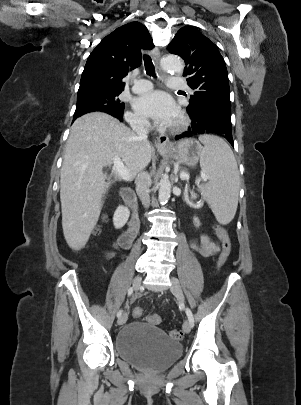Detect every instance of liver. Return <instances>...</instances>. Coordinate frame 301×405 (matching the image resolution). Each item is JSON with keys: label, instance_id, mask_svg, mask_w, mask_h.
I'll return each instance as SVG.
<instances>
[{"label": "liver", "instance_id": "obj_1", "mask_svg": "<svg viewBox=\"0 0 301 405\" xmlns=\"http://www.w3.org/2000/svg\"><path fill=\"white\" fill-rule=\"evenodd\" d=\"M153 152L148 141L108 114L89 113L75 120L60 176L62 228L71 248L86 245L99 219L103 196L113 183L105 180L103 167L119 157L133 178L150 163Z\"/></svg>", "mask_w": 301, "mask_h": 405}]
</instances>
